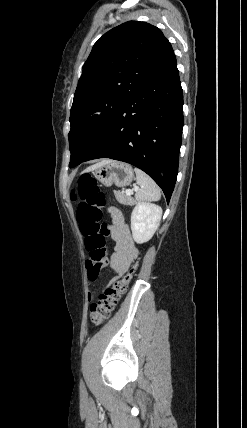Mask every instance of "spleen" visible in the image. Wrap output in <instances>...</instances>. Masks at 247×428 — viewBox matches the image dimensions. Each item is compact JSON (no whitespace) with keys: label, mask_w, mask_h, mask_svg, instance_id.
Instances as JSON below:
<instances>
[{"label":"spleen","mask_w":247,"mask_h":428,"mask_svg":"<svg viewBox=\"0 0 247 428\" xmlns=\"http://www.w3.org/2000/svg\"><path fill=\"white\" fill-rule=\"evenodd\" d=\"M136 173L137 184L140 189L136 192L137 201H158L161 198V192L158 185L145 172L139 168L134 169Z\"/></svg>","instance_id":"obj_1"}]
</instances>
